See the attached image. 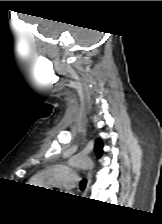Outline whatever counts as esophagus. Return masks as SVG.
Segmentation results:
<instances>
[{
  "label": "esophagus",
  "instance_id": "obj_1",
  "mask_svg": "<svg viewBox=\"0 0 162 224\" xmlns=\"http://www.w3.org/2000/svg\"><path fill=\"white\" fill-rule=\"evenodd\" d=\"M90 182H91V173L88 172L87 173V184H86L84 195H86L87 192H88V189H89V186H90Z\"/></svg>",
  "mask_w": 162,
  "mask_h": 224
}]
</instances>
